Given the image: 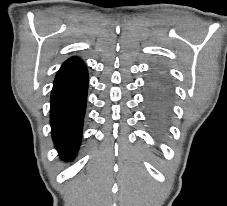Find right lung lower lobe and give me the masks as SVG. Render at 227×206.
<instances>
[{
    "label": "right lung lower lobe",
    "mask_w": 227,
    "mask_h": 206,
    "mask_svg": "<svg viewBox=\"0 0 227 206\" xmlns=\"http://www.w3.org/2000/svg\"><path fill=\"white\" fill-rule=\"evenodd\" d=\"M88 73L77 57L63 63L51 92L50 124L61 158L72 159L80 146L86 108Z\"/></svg>",
    "instance_id": "obj_1"
}]
</instances>
